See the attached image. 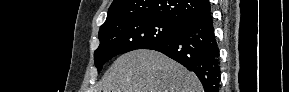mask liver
<instances>
[{
	"instance_id": "liver-1",
	"label": "liver",
	"mask_w": 289,
	"mask_h": 92,
	"mask_svg": "<svg viewBox=\"0 0 289 92\" xmlns=\"http://www.w3.org/2000/svg\"><path fill=\"white\" fill-rule=\"evenodd\" d=\"M100 92H203L193 72L164 54L138 49L121 55L105 73Z\"/></svg>"
}]
</instances>
